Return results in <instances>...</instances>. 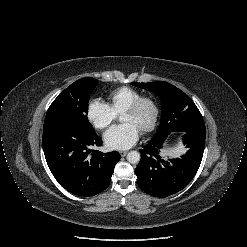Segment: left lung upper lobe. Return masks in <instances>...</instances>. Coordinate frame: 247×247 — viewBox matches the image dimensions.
Segmentation results:
<instances>
[{
    "label": "left lung upper lobe",
    "mask_w": 247,
    "mask_h": 247,
    "mask_svg": "<svg viewBox=\"0 0 247 247\" xmlns=\"http://www.w3.org/2000/svg\"><path fill=\"white\" fill-rule=\"evenodd\" d=\"M131 84L152 91L161 99V123L152 139H163L173 132H206L200 111L177 87L164 81Z\"/></svg>",
    "instance_id": "5c2ea615"
}]
</instances>
